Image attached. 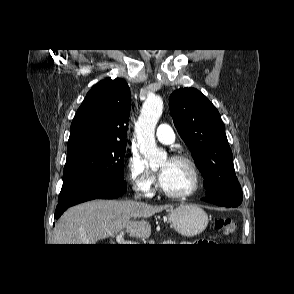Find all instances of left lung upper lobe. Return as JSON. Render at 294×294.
<instances>
[{
    "mask_svg": "<svg viewBox=\"0 0 294 294\" xmlns=\"http://www.w3.org/2000/svg\"><path fill=\"white\" fill-rule=\"evenodd\" d=\"M169 101L175 127L204 178L206 197L242 195L218 110L195 88H180Z\"/></svg>",
    "mask_w": 294,
    "mask_h": 294,
    "instance_id": "left-lung-upper-lobe-1",
    "label": "left lung upper lobe"
}]
</instances>
